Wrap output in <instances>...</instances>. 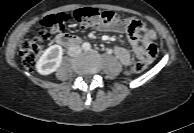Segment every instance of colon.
<instances>
[{"label":"colon","instance_id":"5ec220e1","mask_svg":"<svg viewBox=\"0 0 194 133\" xmlns=\"http://www.w3.org/2000/svg\"><path fill=\"white\" fill-rule=\"evenodd\" d=\"M120 20V16L115 12L92 7L79 8L72 14L59 13L57 15L47 16L42 20L44 29L34 38L28 39L21 44L20 56L23 64L27 68L33 67L42 54L46 42L49 40L50 33L61 31L70 21H74L81 28H86L90 26H111ZM154 58V53L141 55L139 61L133 67L127 69L125 73L132 75L146 70Z\"/></svg>","mask_w":194,"mask_h":133}]
</instances>
